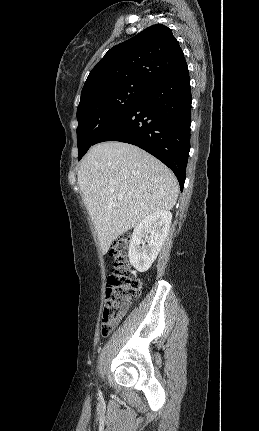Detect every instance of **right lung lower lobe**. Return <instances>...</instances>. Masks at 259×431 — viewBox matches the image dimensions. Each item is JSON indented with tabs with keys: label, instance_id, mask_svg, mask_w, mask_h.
<instances>
[{
	"label": "right lung lower lobe",
	"instance_id": "obj_1",
	"mask_svg": "<svg viewBox=\"0 0 259 431\" xmlns=\"http://www.w3.org/2000/svg\"><path fill=\"white\" fill-rule=\"evenodd\" d=\"M191 87L188 69L152 87L95 144L120 141L149 152L176 175L181 190L190 150Z\"/></svg>",
	"mask_w": 259,
	"mask_h": 431
}]
</instances>
